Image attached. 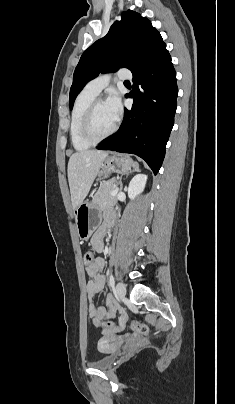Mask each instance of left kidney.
Here are the masks:
<instances>
[{
	"instance_id": "obj_1",
	"label": "left kidney",
	"mask_w": 235,
	"mask_h": 404,
	"mask_svg": "<svg viewBox=\"0 0 235 404\" xmlns=\"http://www.w3.org/2000/svg\"><path fill=\"white\" fill-rule=\"evenodd\" d=\"M147 181V175L137 174L129 183L128 196L130 199H135L137 195L143 192Z\"/></svg>"
}]
</instances>
